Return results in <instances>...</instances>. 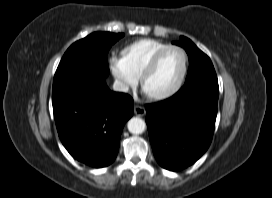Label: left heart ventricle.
I'll return each mask as SVG.
<instances>
[{"label":"left heart ventricle","mask_w":272,"mask_h":198,"mask_svg":"<svg viewBox=\"0 0 272 198\" xmlns=\"http://www.w3.org/2000/svg\"><path fill=\"white\" fill-rule=\"evenodd\" d=\"M183 70V55L179 50L166 52L155 70L145 79L143 91L147 95L162 94L172 89Z\"/></svg>","instance_id":"b2bd125f"}]
</instances>
